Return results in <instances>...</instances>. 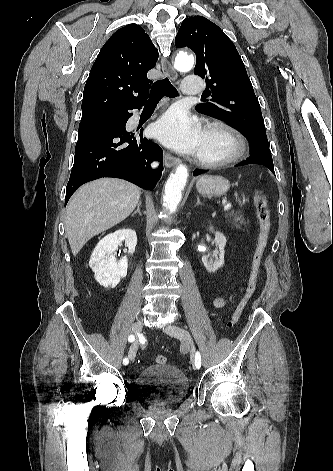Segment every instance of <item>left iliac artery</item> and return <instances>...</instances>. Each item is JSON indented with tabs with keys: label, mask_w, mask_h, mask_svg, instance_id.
I'll return each instance as SVG.
<instances>
[{
	"label": "left iliac artery",
	"mask_w": 333,
	"mask_h": 471,
	"mask_svg": "<svg viewBox=\"0 0 333 471\" xmlns=\"http://www.w3.org/2000/svg\"><path fill=\"white\" fill-rule=\"evenodd\" d=\"M195 366L197 369L201 367V355L199 352H196L195 354Z\"/></svg>",
	"instance_id": "44dca946"
}]
</instances>
